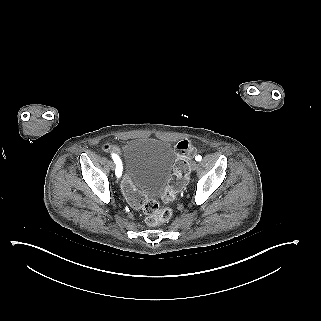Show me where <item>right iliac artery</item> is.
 I'll list each match as a JSON object with an SVG mask.
<instances>
[{"label":"right iliac artery","instance_id":"1","mask_svg":"<svg viewBox=\"0 0 321 321\" xmlns=\"http://www.w3.org/2000/svg\"><path fill=\"white\" fill-rule=\"evenodd\" d=\"M113 157V160L116 164V170H115V174L117 177H120L121 176V173H122V170H121V166H120V163H119V159L116 155H112Z\"/></svg>","mask_w":321,"mask_h":321}]
</instances>
